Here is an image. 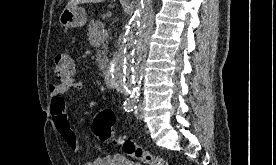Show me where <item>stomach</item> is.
<instances>
[{
	"label": "stomach",
	"mask_w": 276,
	"mask_h": 165,
	"mask_svg": "<svg viewBox=\"0 0 276 165\" xmlns=\"http://www.w3.org/2000/svg\"><path fill=\"white\" fill-rule=\"evenodd\" d=\"M59 22L65 28L82 27L87 22L86 12L78 6L65 8L59 16Z\"/></svg>",
	"instance_id": "1"
}]
</instances>
